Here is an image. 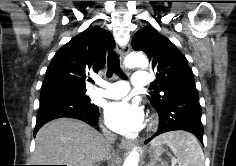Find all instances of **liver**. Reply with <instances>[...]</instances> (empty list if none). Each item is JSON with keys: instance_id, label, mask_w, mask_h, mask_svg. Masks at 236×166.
Here are the masks:
<instances>
[{"instance_id": "1", "label": "liver", "mask_w": 236, "mask_h": 166, "mask_svg": "<svg viewBox=\"0 0 236 166\" xmlns=\"http://www.w3.org/2000/svg\"><path fill=\"white\" fill-rule=\"evenodd\" d=\"M35 142L31 158L35 165L94 166L110 159L104 136L72 118L48 122L38 131Z\"/></svg>"}]
</instances>
